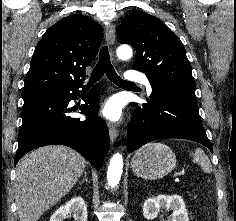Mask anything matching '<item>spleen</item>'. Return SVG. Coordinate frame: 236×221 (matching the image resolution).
Listing matches in <instances>:
<instances>
[{"label":"spleen","instance_id":"obj_1","mask_svg":"<svg viewBox=\"0 0 236 221\" xmlns=\"http://www.w3.org/2000/svg\"><path fill=\"white\" fill-rule=\"evenodd\" d=\"M190 155L193 157L194 162L198 163L202 167V170L204 172L206 173L212 172L211 162L201 148L196 149L195 153L191 152Z\"/></svg>","mask_w":236,"mask_h":221}]
</instances>
